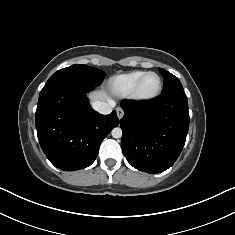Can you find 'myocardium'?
Here are the masks:
<instances>
[{
  "label": "myocardium",
  "mask_w": 235,
  "mask_h": 235,
  "mask_svg": "<svg viewBox=\"0 0 235 235\" xmlns=\"http://www.w3.org/2000/svg\"><path fill=\"white\" fill-rule=\"evenodd\" d=\"M155 75L157 78H158V87L156 89V91L150 95H143L140 93V87H141V84L142 82L144 81V79L148 76V75ZM162 79L160 77V75L154 71H148V72H145L140 78L139 80L137 81V83L135 84L130 96L132 99L136 100V101H139V102H149V101H152L154 99H156L161 91H162Z\"/></svg>",
  "instance_id": "myocardium-1"
}]
</instances>
